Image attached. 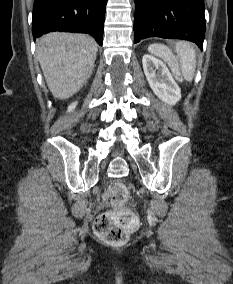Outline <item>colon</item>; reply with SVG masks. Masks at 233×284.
I'll return each mask as SVG.
<instances>
[{"instance_id": "5ec220e1", "label": "colon", "mask_w": 233, "mask_h": 284, "mask_svg": "<svg viewBox=\"0 0 233 284\" xmlns=\"http://www.w3.org/2000/svg\"><path fill=\"white\" fill-rule=\"evenodd\" d=\"M149 52L164 60L174 78L183 82L178 60L168 47L162 44H152ZM108 195L114 210L99 215L95 220L94 230L100 238L108 242L123 243L128 239L129 231L136 222L134 213L125 208L129 191L123 182L114 181L108 188Z\"/></svg>"}]
</instances>
